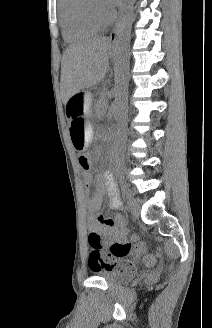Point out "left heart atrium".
Instances as JSON below:
<instances>
[{
  "label": "left heart atrium",
  "mask_w": 212,
  "mask_h": 328,
  "mask_svg": "<svg viewBox=\"0 0 212 328\" xmlns=\"http://www.w3.org/2000/svg\"><path fill=\"white\" fill-rule=\"evenodd\" d=\"M117 0H102L104 7L108 11H112L116 5Z\"/></svg>",
  "instance_id": "39dd6f15"
}]
</instances>
